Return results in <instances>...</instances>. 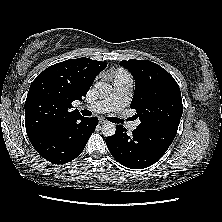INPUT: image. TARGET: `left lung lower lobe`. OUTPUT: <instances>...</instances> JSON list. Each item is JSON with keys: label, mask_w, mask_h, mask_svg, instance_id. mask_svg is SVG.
I'll return each instance as SVG.
<instances>
[{"label": "left lung lower lobe", "mask_w": 222, "mask_h": 222, "mask_svg": "<svg viewBox=\"0 0 222 222\" xmlns=\"http://www.w3.org/2000/svg\"><path fill=\"white\" fill-rule=\"evenodd\" d=\"M176 132L170 128L137 127L132 135L117 125L114 135L106 138L112 156L131 169H143L157 162L173 142Z\"/></svg>", "instance_id": "0a47b994"}]
</instances>
